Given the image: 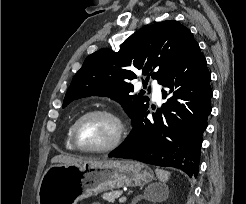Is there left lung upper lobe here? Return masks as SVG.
Wrapping results in <instances>:
<instances>
[{"instance_id": "1", "label": "left lung upper lobe", "mask_w": 246, "mask_h": 204, "mask_svg": "<svg viewBox=\"0 0 246 204\" xmlns=\"http://www.w3.org/2000/svg\"><path fill=\"white\" fill-rule=\"evenodd\" d=\"M196 44L189 29L177 21L145 27L127 38L119 50L103 48L89 55L67 90L63 108L81 97L109 96L123 106L134 122L147 110L149 101L142 92L129 95L136 72L141 70L147 75L146 81L151 75L162 84Z\"/></svg>"}]
</instances>
